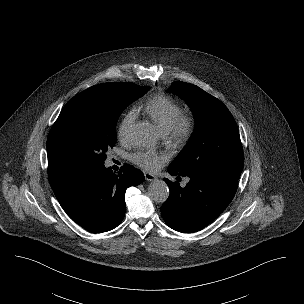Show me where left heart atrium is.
Segmentation results:
<instances>
[{
	"instance_id": "1",
	"label": "left heart atrium",
	"mask_w": 304,
	"mask_h": 304,
	"mask_svg": "<svg viewBox=\"0 0 304 304\" xmlns=\"http://www.w3.org/2000/svg\"><path fill=\"white\" fill-rule=\"evenodd\" d=\"M168 158V154L152 152V151H137L131 155V161L138 167L153 171L160 167Z\"/></svg>"
}]
</instances>
